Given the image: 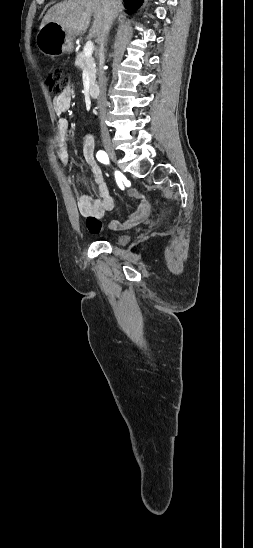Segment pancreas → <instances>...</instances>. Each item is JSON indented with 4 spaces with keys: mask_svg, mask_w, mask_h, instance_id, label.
<instances>
[{
    "mask_svg": "<svg viewBox=\"0 0 253 548\" xmlns=\"http://www.w3.org/2000/svg\"><path fill=\"white\" fill-rule=\"evenodd\" d=\"M75 65L78 68L87 71L90 77L91 88H93L96 83V74H97L96 63L94 58L86 57L84 55V52H80L76 56Z\"/></svg>",
    "mask_w": 253,
    "mask_h": 548,
    "instance_id": "obj_1",
    "label": "pancreas"
}]
</instances>
